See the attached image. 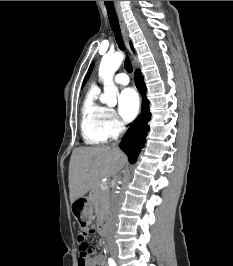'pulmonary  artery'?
<instances>
[{
    "label": "pulmonary artery",
    "instance_id": "pulmonary-artery-1",
    "mask_svg": "<svg viewBox=\"0 0 233 266\" xmlns=\"http://www.w3.org/2000/svg\"><path fill=\"white\" fill-rule=\"evenodd\" d=\"M114 81L119 85H127L129 83V77L126 73H118L115 75Z\"/></svg>",
    "mask_w": 233,
    "mask_h": 266
}]
</instances>
